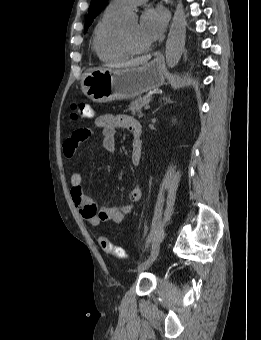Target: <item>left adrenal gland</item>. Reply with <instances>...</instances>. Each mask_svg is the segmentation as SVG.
Instances as JSON below:
<instances>
[{
  "label": "left adrenal gland",
  "instance_id": "1",
  "mask_svg": "<svg viewBox=\"0 0 261 340\" xmlns=\"http://www.w3.org/2000/svg\"><path fill=\"white\" fill-rule=\"evenodd\" d=\"M161 100L164 101V105L173 103V100L170 98V96L169 97H163L162 99H160V101Z\"/></svg>",
  "mask_w": 261,
  "mask_h": 340
}]
</instances>
